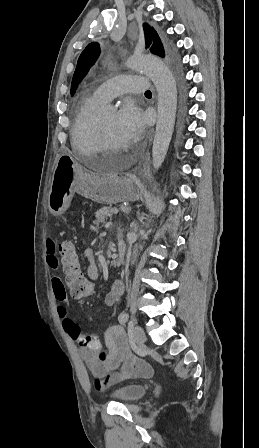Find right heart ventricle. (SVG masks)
<instances>
[{
	"instance_id": "e07e8e85",
	"label": "right heart ventricle",
	"mask_w": 259,
	"mask_h": 448,
	"mask_svg": "<svg viewBox=\"0 0 259 448\" xmlns=\"http://www.w3.org/2000/svg\"><path fill=\"white\" fill-rule=\"evenodd\" d=\"M96 90L86 94L82 106L77 109L71 130L72 145L77 151L101 150L98 135V115L96 109L102 105Z\"/></svg>"
}]
</instances>
